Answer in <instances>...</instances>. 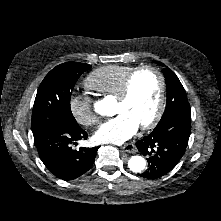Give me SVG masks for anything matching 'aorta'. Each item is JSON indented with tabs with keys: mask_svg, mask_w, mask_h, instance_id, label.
<instances>
[{
	"mask_svg": "<svg viewBox=\"0 0 221 221\" xmlns=\"http://www.w3.org/2000/svg\"><path fill=\"white\" fill-rule=\"evenodd\" d=\"M109 107L102 101L95 105V111L101 115H106ZM128 167L132 172L140 173L146 167V161L141 156H132L129 159Z\"/></svg>",
	"mask_w": 221,
	"mask_h": 221,
	"instance_id": "762f6f07",
	"label": "aorta"
}]
</instances>
